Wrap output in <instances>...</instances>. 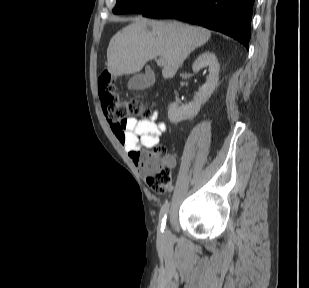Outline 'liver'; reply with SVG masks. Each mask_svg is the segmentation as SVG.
Here are the masks:
<instances>
[{
    "label": "liver",
    "mask_w": 309,
    "mask_h": 288,
    "mask_svg": "<svg viewBox=\"0 0 309 288\" xmlns=\"http://www.w3.org/2000/svg\"><path fill=\"white\" fill-rule=\"evenodd\" d=\"M211 32L177 21L136 18L117 32L107 49V70L113 76L139 72L146 62L162 57V75L173 78L179 67L196 48L204 45Z\"/></svg>",
    "instance_id": "1"
}]
</instances>
